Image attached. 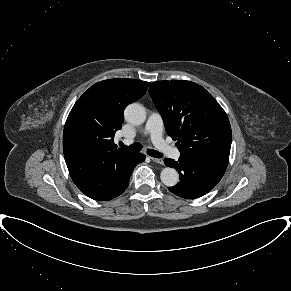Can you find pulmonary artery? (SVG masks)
I'll return each instance as SVG.
<instances>
[{
  "instance_id": "pulmonary-artery-1",
  "label": "pulmonary artery",
  "mask_w": 291,
  "mask_h": 291,
  "mask_svg": "<svg viewBox=\"0 0 291 291\" xmlns=\"http://www.w3.org/2000/svg\"><path fill=\"white\" fill-rule=\"evenodd\" d=\"M163 120L159 113L153 112L149 115L146 125L145 134H148L154 146L163 154L170 158L178 159L180 152L175 147L169 145L163 138ZM130 142V141H127Z\"/></svg>"
}]
</instances>
